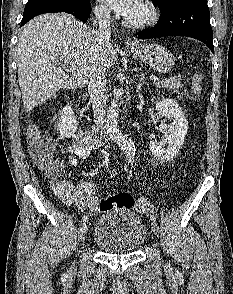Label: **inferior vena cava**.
<instances>
[{
    "instance_id": "obj_1",
    "label": "inferior vena cava",
    "mask_w": 233,
    "mask_h": 294,
    "mask_svg": "<svg viewBox=\"0 0 233 294\" xmlns=\"http://www.w3.org/2000/svg\"><path fill=\"white\" fill-rule=\"evenodd\" d=\"M99 23V29L95 32L96 41L99 46H105L110 43V9L101 7L95 11ZM88 92L92 103L95 124L100 135L105 138L108 136L106 131V67L100 56L94 58L89 69ZM105 148H110L109 143Z\"/></svg>"
}]
</instances>
